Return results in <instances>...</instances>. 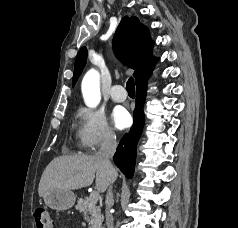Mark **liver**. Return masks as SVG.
I'll return each mask as SVG.
<instances>
[{
    "mask_svg": "<svg viewBox=\"0 0 238 228\" xmlns=\"http://www.w3.org/2000/svg\"><path fill=\"white\" fill-rule=\"evenodd\" d=\"M117 171L109 169L96 155H65L53 159L45 168L38 187L40 197L50 189L75 190L90 186L94 179L99 192L116 180Z\"/></svg>",
    "mask_w": 238,
    "mask_h": 228,
    "instance_id": "1",
    "label": "liver"
}]
</instances>
